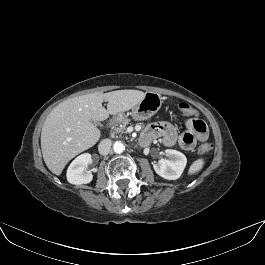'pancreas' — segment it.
<instances>
[{"instance_id":"pancreas-1","label":"pancreas","mask_w":265,"mask_h":265,"mask_svg":"<svg viewBox=\"0 0 265 265\" xmlns=\"http://www.w3.org/2000/svg\"><path fill=\"white\" fill-rule=\"evenodd\" d=\"M129 124V121L127 119L121 121V122H118L116 123L114 126H113V132L114 133H120V134H123V133H126V126Z\"/></svg>"}]
</instances>
